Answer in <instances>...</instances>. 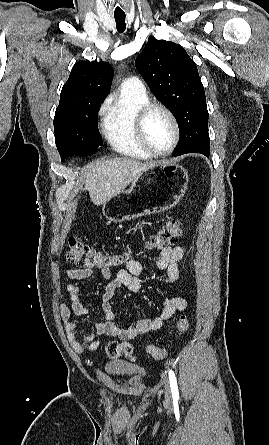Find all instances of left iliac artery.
Masks as SVG:
<instances>
[{
  "label": "left iliac artery",
  "mask_w": 269,
  "mask_h": 445,
  "mask_svg": "<svg viewBox=\"0 0 269 445\" xmlns=\"http://www.w3.org/2000/svg\"><path fill=\"white\" fill-rule=\"evenodd\" d=\"M169 381H170L172 396L174 399H178L179 391H178V386H177V380H176V376L172 370H169Z\"/></svg>",
  "instance_id": "obj_1"
}]
</instances>
